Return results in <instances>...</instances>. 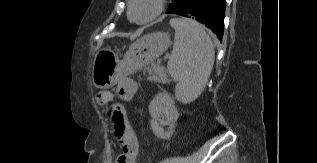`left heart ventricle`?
Instances as JSON below:
<instances>
[{"instance_id": "obj_1", "label": "left heart ventricle", "mask_w": 317, "mask_h": 163, "mask_svg": "<svg viewBox=\"0 0 317 163\" xmlns=\"http://www.w3.org/2000/svg\"><path fill=\"white\" fill-rule=\"evenodd\" d=\"M155 10V0H135L132 8V16L136 20L149 17Z\"/></svg>"}]
</instances>
